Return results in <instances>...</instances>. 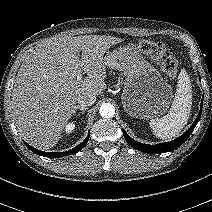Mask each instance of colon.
I'll return each instance as SVG.
<instances>
[{
	"mask_svg": "<svg viewBox=\"0 0 212 212\" xmlns=\"http://www.w3.org/2000/svg\"><path fill=\"white\" fill-rule=\"evenodd\" d=\"M137 48L143 54L156 60L167 77L173 79L176 76L178 60L169 47L162 43L142 40L138 42Z\"/></svg>",
	"mask_w": 212,
	"mask_h": 212,
	"instance_id": "1",
	"label": "colon"
}]
</instances>
